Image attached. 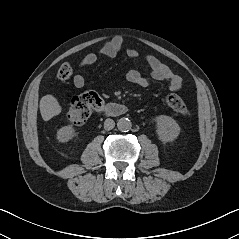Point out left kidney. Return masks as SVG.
<instances>
[{"mask_svg": "<svg viewBox=\"0 0 239 239\" xmlns=\"http://www.w3.org/2000/svg\"><path fill=\"white\" fill-rule=\"evenodd\" d=\"M156 133L158 139L163 142H173L180 134V127L178 123L171 117L166 115H160L155 118Z\"/></svg>", "mask_w": 239, "mask_h": 239, "instance_id": "obj_1", "label": "left kidney"}]
</instances>
